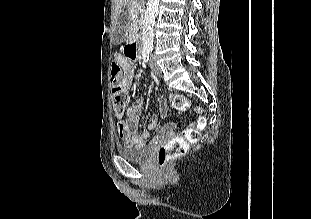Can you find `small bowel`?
Returning <instances> with one entry per match:
<instances>
[{"instance_id": "obj_1", "label": "small bowel", "mask_w": 311, "mask_h": 219, "mask_svg": "<svg viewBox=\"0 0 311 219\" xmlns=\"http://www.w3.org/2000/svg\"><path fill=\"white\" fill-rule=\"evenodd\" d=\"M115 62L123 69L125 76V87L130 89L134 84V69L128 56L118 54ZM144 98H139L132 104L126 113V118L117 123V132L119 137L127 145H140L150 137L153 130L157 129L159 136L164 137L171 133V126H159L160 116L152 114L146 126V130L137 133L141 112L144 106ZM160 114L164 115L166 112V103L164 99L159 102Z\"/></svg>"}]
</instances>
